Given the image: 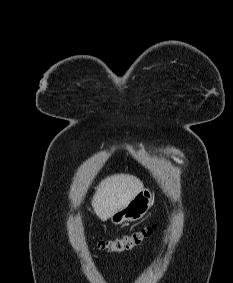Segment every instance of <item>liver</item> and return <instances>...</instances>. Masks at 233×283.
<instances>
[{
	"label": "liver",
	"instance_id": "liver-1",
	"mask_svg": "<svg viewBox=\"0 0 233 283\" xmlns=\"http://www.w3.org/2000/svg\"><path fill=\"white\" fill-rule=\"evenodd\" d=\"M143 183L129 174H114L100 182L92 198V207L102 221L125 207L140 191Z\"/></svg>",
	"mask_w": 233,
	"mask_h": 283
}]
</instances>
